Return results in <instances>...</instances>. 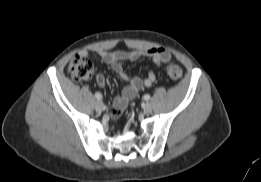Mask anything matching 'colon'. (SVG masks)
Here are the masks:
<instances>
[{
	"mask_svg": "<svg viewBox=\"0 0 261 182\" xmlns=\"http://www.w3.org/2000/svg\"><path fill=\"white\" fill-rule=\"evenodd\" d=\"M68 72L74 80L88 81L93 76V66L87 58L74 55L69 61ZM167 74L170 78L178 80L182 77V70L171 63L167 66Z\"/></svg>",
	"mask_w": 261,
	"mask_h": 182,
	"instance_id": "5ec220e1",
	"label": "colon"
}]
</instances>
